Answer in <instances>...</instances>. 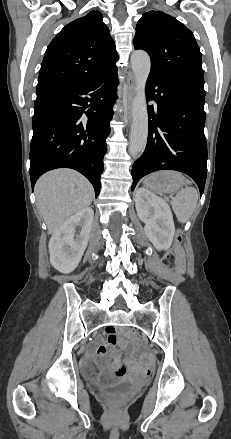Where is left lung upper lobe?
<instances>
[{
  "mask_svg": "<svg viewBox=\"0 0 231 439\" xmlns=\"http://www.w3.org/2000/svg\"><path fill=\"white\" fill-rule=\"evenodd\" d=\"M135 49L151 57L150 75L204 83L201 53L193 33L176 18L161 12L143 14L136 26Z\"/></svg>",
  "mask_w": 231,
  "mask_h": 439,
  "instance_id": "5c2ea615",
  "label": "left lung upper lobe"
}]
</instances>
